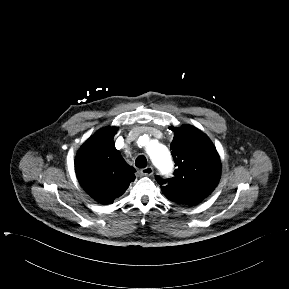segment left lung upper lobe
Segmentation results:
<instances>
[{
    "mask_svg": "<svg viewBox=\"0 0 289 289\" xmlns=\"http://www.w3.org/2000/svg\"><path fill=\"white\" fill-rule=\"evenodd\" d=\"M170 129L174 131L171 150L177 169L171 179L155 178L169 200L194 206L217 186L221 174L220 157L211 140L197 128L183 125Z\"/></svg>",
    "mask_w": 289,
    "mask_h": 289,
    "instance_id": "5c2ea615",
    "label": "left lung upper lobe"
}]
</instances>
